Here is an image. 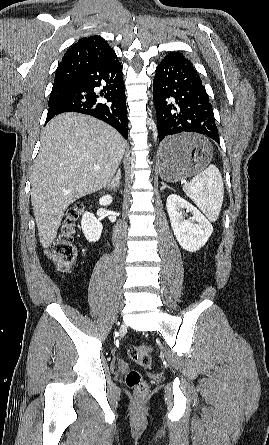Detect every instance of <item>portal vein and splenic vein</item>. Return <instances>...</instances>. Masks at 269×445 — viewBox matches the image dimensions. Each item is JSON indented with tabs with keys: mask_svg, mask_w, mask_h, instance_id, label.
I'll list each match as a JSON object with an SVG mask.
<instances>
[{
	"mask_svg": "<svg viewBox=\"0 0 269 445\" xmlns=\"http://www.w3.org/2000/svg\"><path fill=\"white\" fill-rule=\"evenodd\" d=\"M94 170H99V167H98V166H95V167H94Z\"/></svg>",
	"mask_w": 269,
	"mask_h": 445,
	"instance_id": "obj_1",
	"label": "portal vein and splenic vein"
}]
</instances>
